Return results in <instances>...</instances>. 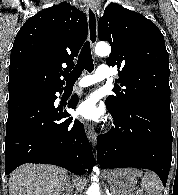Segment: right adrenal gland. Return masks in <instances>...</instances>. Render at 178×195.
<instances>
[{
    "label": "right adrenal gland",
    "mask_w": 178,
    "mask_h": 195,
    "mask_svg": "<svg viewBox=\"0 0 178 195\" xmlns=\"http://www.w3.org/2000/svg\"><path fill=\"white\" fill-rule=\"evenodd\" d=\"M72 191V188H71V185H70V181L68 180V183H67V188H66V195H69V193Z\"/></svg>",
    "instance_id": "1"
}]
</instances>
